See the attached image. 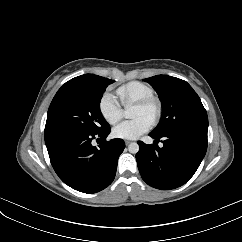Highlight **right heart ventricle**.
<instances>
[{"instance_id":"right-heart-ventricle-1","label":"right heart ventricle","mask_w":242,"mask_h":242,"mask_svg":"<svg viewBox=\"0 0 242 242\" xmlns=\"http://www.w3.org/2000/svg\"><path fill=\"white\" fill-rule=\"evenodd\" d=\"M116 94L124 106H129L139 100L153 96V90L145 83L132 81L119 87Z\"/></svg>"}]
</instances>
